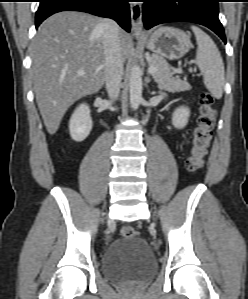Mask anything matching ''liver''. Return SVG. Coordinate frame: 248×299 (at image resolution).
I'll return each mask as SVG.
<instances>
[{"instance_id": "6515ba94", "label": "liver", "mask_w": 248, "mask_h": 299, "mask_svg": "<svg viewBox=\"0 0 248 299\" xmlns=\"http://www.w3.org/2000/svg\"><path fill=\"white\" fill-rule=\"evenodd\" d=\"M101 22V18L87 13H56L40 25L31 44L36 102L51 135L57 132L63 116L75 101L98 91L104 84ZM119 40L125 61L131 49V38L119 28Z\"/></svg>"}]
</instances>
